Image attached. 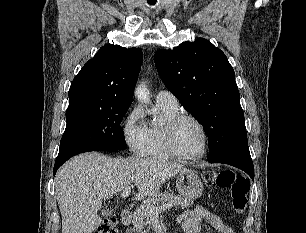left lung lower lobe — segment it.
Masks as SVG:
<instances>
[{"label":"left lung lower lobe","instance_id":"obj_1","mask_svg":"<svg viewBox=\"0 0 306 233\" xmlns=\"http://www.w3.org/2000/svg\"><path fill=\"white\" fill-rule=\"evenodd\" d=\"M207 160L211 163H224L237 167L254 179V167L249 150L227 153L214 158H207Z\"/></svg>","mask_w":306,"mask_h":233}]
</instances>
